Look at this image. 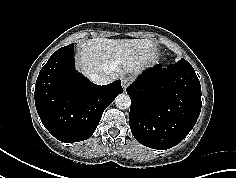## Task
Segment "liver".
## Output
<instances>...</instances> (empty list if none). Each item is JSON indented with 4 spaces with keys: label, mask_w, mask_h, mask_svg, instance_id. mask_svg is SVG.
<instances>
[{
    "label": "liver",
    "mask_w": 236,
    "mask_h": 178,
    "mask_svg": "<svg viewBox=\"0 0 236 178\" xmlns=\"http://www.w3.org/2000/svg\"><path fill=\"white\" fill-rule=\"evenodd\" d=\"M155 48L148 39L93 38L80 44L76 66L88 77L105 74L114 81L143 69L154 58Z\"/></svg>",
    "instance_id": "6515ba94"
}]
</instances>
